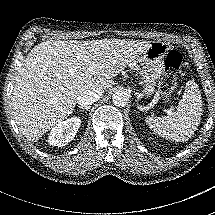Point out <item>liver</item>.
Masks as SVG:
<instances>
[{
	"label": "liver",
	"mask_w": 215,
	"mask_h": 215,
	"mask_svg": "<svg viewBox=\"0 0 215 215\" xmlns=\"http://www.w3.org/2000/svg\"><path fill=\"white\" fill-rule=\"evenodd\" d=\"M150 43L112 38L48 40L34 46L18 70L11 98L19 131L29 141L39 140L73 113L82 93L112 88L111 78L138 59Z\"/></svg>",
	"instance_id": "6515ba94"
}]
</instances>
